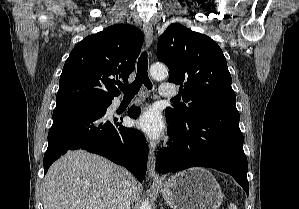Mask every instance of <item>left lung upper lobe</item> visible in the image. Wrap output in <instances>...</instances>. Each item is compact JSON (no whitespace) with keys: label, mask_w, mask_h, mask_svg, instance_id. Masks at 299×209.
<instances>
[{"label":"left lung upper lobe","mask_w":299,"mask_h":209,"mask_svg":"<svg viewBox=\"0 0 299 209\" xmlns=\"http://www.w3.org/2000/svg\"><path fill=\"white\" fill-rule=\"evenodd\" d=\"M157 57L168 66L169 82L180 84L182 99L187 102L166 108L168 119L186 121L206 104H235L225 56L210 37L171 24L159 37Z\"/></svg>","instance_id":"left-lung-upper-lobe-1"}]
</instances>
